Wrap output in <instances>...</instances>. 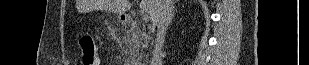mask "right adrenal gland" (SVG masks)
Listing matches in <instances>:
<instances>
[{
	"label": "right adrenal gland",
	"instance_id": "2a0ac1e0",
	"mask_svg": "<svg viewBox=\"0 0 309 65\" xmlns=\"http://www.w3.org/2000/svg\"><path fill=\"white\" fill-rule=\"evenodd\" d=\"M175 11H176V9H173V12H172V15H171V18H172V19H173L174 16H175Z\"/></svg>",
	"mask_w": 309,
	"mask_h": 65
}]
</instances>
